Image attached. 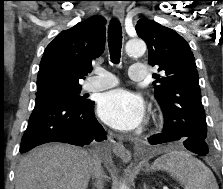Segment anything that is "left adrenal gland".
Returning <instances> with one entry per match:
<instances>
[{"label": "left adrenal gland", "instance_id": "1", "mask_svg": "<svg viewBox=\"0 0 223 189\" xmlns=\"http://www.w3.org/2000/svg\"><path fill=\"white\" fill-rule=\"evenodd\" d=\"M143 189H148V186L145 183L143 185ZM152 189H155V188H152Z\"/></svg>", "mask_w": 223, "mask_h": 189}]
</instances>
